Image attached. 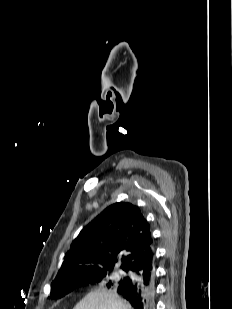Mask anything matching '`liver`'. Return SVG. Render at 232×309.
Returning <instances> with one entry per match:
<instances>
[{
  "label": "liver",
  "instance_id": "1",
  "mask_svg": "<svg viewBox=\"0 0 232 309\" xmlns=\"http://www.w3.org/2000/svg\"><path fill=\"white\" fill-rule=\"evenodd\" d=\"M74 309H133L115 291L99 288L88 293Z\"/></svg>",
  "mask_w": 232,
  "mask_h": 309
}]
</instances>
